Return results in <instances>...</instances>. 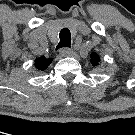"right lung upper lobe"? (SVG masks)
<instances>
[{
  "instance_id": "right-lung-upper-lobe-1",
  "label": "right lung upper lobe",
  "mask_w": 135,
  "mask_h": 135,
  "mask_svg": "<svg viewBox=\"0 0 135 135\" xmlns=\"http://www.w3.org/2000/svg\"><path fill=\"white\" fill-rule=\"evenodd\" d=\"M51 62V58H45L44 56H41L40 58H36L35 67L38 70L44 71L50 65Z\"/></svg>"
}]
</instances>
